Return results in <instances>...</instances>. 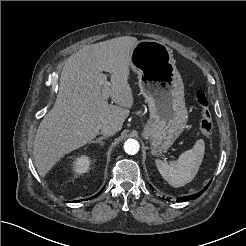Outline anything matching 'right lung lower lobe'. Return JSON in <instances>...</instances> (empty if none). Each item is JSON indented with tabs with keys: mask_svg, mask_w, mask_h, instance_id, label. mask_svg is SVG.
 I'll use <instances>...</instances> for the list:
<instances>
[{
	"mask_svg": "<svg viewBox=\"0 0 246 246\" xmlns=\"http://www.w3.org/2000/svg\"><path fill=\"white\" fill-rule=\"evenodd\" d=\"M100 193H101V192H99L97 195H95V196L91 197L90 199H92V198H94V197L98 196Z\"/></svg>",
	"mask_w": 246,
	"mask_h": 246,
	"instance_id": "obj_1",
	"label": "right lung lower lobe"
}]
</instances>
